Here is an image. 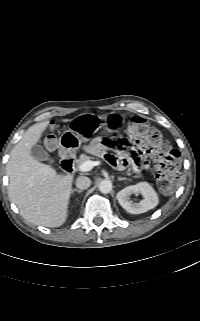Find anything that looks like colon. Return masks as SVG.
Wrapping results in <instances>:
<instances>
[{
  "instance_id": "1",
  "label": "colon",
  "mask_w": 200,
  "mask_h": 321,
  "mask_svg": "<svg viewBox=\"0 0 200 321\" xmlns=\"http://www.w3.org/2000/svg\"><path fill=\"white\" fill-rule=\"evenodd\" d=\"M128 137L145 153L146 157L153 159L159 189L166 194L172 193L181 180L179 152L171 147L158 129L139 117L131 120L128 126ZM46 144L49 148L55 146L52 138H47Z\"/></svg>"
}]
</instances>
